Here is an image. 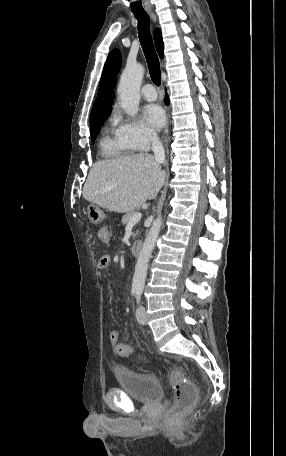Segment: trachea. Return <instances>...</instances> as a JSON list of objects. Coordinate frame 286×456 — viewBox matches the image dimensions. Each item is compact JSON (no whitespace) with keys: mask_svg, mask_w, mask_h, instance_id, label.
I'll return each instance as SVG.
<instances>
[{"mask_svg":"<svg viewBox=\"0 0 286 456\" xmlns=\"http://www.w3.org/2000/svg\"><path fill=\"white\" fill-rule=\"evenodd\" d=\"M138 21V34L144 55L149 68V73L154 84L160 85V63L150 34V19L146 12H134Z\"/></svg>","mask_w":286,"mask_h":456,"instance_id":"1","label":"trachea"}]
</instances>
